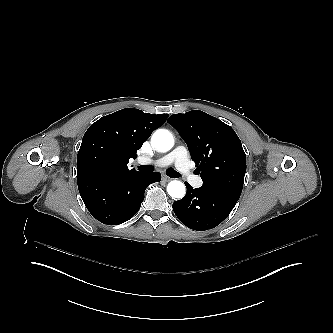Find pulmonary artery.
Returning a JSON list of instances; mask_svg holds the SVG:
<instances>
[{
  "label": "pulmonary artery",
  "mask_w": 333,
  "mask_h": 333,
  "mask_svg": "<svg viewBox=\"0 0 333 333\" xmlns=\"http://www.w3.org/2000/svg\"><path fill=\"white\" fill-rule=\"evenodd\" d=\"M190 153V148L187 145H182L177 149H172L170 153L163 156L162 158H146L144 160V165L146 167H167L171 162L176 159V172L183 175V179L187 182H191L194 187H199L202 184V179L199 176H195L187 162L189 161L188 154Z\"/></svg>",
  "instance_id": "pulmonary-artery-1"
}]
</instances>
